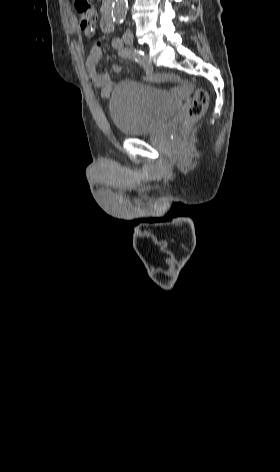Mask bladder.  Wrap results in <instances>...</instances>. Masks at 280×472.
I'll list each match as a JSON object with an SVG mask.
<instances>
[{"label":"bladder","instance_id":"bladder-1","mask_svg":"<svg viewBox=\"0 0 280 472\" xmlns=\"http://www.w3.org/2000/svg\"><path fill=\"white\" fill-rule=\"evenodd\" d=\"M179 101L168 91L138 81L119 83L110 98L109 111L117 129L127 136L154 131L179 108Z\"/></svg>","mask_w":280,"mask_h":472}]
</instances>
